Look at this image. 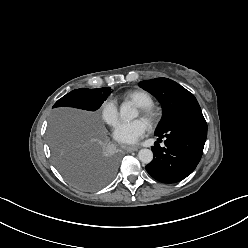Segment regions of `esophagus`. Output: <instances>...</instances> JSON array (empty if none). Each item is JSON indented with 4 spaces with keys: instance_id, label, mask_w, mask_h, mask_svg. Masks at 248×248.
<instances>
[{
    "instance_id": "esophagus-1",
    "label": "esophagus",
    "mask_w": 248,
    "mask_h": 248,
    "mask_svg": "<svg viewBox=\"0 0 248 248\" xmlns=\"http://www.w3.org/2000/svg\"><path fill=\"white\" fill-rule=\"evenodd\" d=\"M125 151L126 152H135V151H138V147H135V146H126L124 147Z\"/></svg>"
}]
</instances>
